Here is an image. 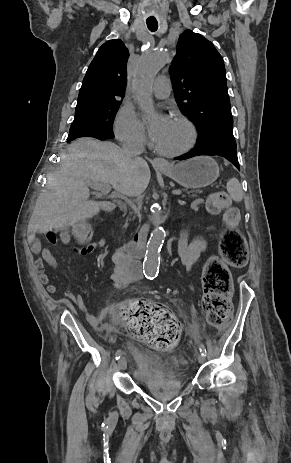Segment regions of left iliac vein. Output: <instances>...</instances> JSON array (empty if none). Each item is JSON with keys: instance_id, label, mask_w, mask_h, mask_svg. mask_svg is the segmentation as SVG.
Segmentation results:
<instances>
[{"instance_id": "4c4485c4", "label": "left iliac vein", "mask_w": 291, "mask_h": 463, "mask_svg": "<svg viewBox=\"0 0 291 463\" xmlns=\"http://www.w3.org/2000/svg\"><path fill=\"white\" fill-rule=\"evenodd\" d=\"M197 360L200 364H202L205 361V356L200 353L197 356Z\"/></svg>"}]
</instances>
